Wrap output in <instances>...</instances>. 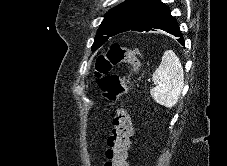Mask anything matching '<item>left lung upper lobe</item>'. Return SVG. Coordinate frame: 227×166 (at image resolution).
<instances>
[{
    "mask_svg": "<svg viewBox=\"0 0 227 166\" xmlns=\"http://www.w3.org/2000/svg\"><path fill=\"white\" fill-rule=\"evenodd\" d=\"M146 1L126 0L107 12L97 31L92 49L99 48L109 37L129 30Z\"/></svg>",
    "mask_w": 227,
    "mask_h": 166,
    "instance_id": "left-lung-upper-lobe-1",
    "label": "left lung upper lobe"
}]
</instances>
